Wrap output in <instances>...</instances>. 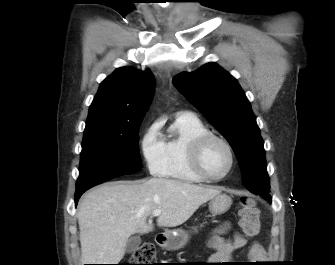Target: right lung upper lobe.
Masks as SVG:
<instances>
[{
	"mask_svg": "<svg viewBox=\"0 0 335 265\" xmlns=\"http://www.w3.org/2000/svg\"><path fill=\"white\" fill-rule=\"evenodd\" d=\"M155 78L150 70L118 68L101 84L86 121L84 134L120 132L141 122L153 95Z\"/></svg>",
	"mask_w": 335,
	"mask_h": 265,
	"instance_id": "1",
	"label": "right lung upper lobe"
}]
</instances>
